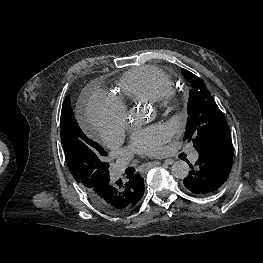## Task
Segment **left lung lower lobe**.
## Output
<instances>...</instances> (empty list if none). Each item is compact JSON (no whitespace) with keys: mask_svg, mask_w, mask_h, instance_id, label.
<instances>
[{"mask_svg":"<svg viewBox=\"0 0 263 263\" xmlns=\"http://www.w3.org/2000/svg\"><path fill=\"white\" fill-rule=\"evenodd\" d=\"M195 169L184 179L185 187L196 195H208L217 191L228 179L233 162L232 139L220 138L198 150Z\"/></svg>","mask_w":263,"mask_h":263,"instance_id":"left-lung-lower-lobe-1","label":"left lung lower lobe"}]
</instances>
